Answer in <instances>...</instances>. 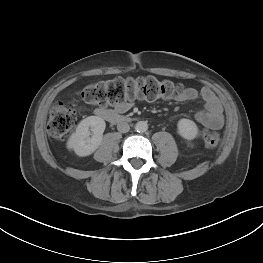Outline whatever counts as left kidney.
Here are the masks:
<instances>
[{"label": "left kidney", "instance_id": "obj_1", "mask_svg": "<svg viewBox=\"0 0 263 263\" xmlns=\"http://www.w3.org/2000/svg\"><path fill=\"white\" fill-rule=\"evenodd\" d=\"M177 127L178 133L187 140H193L198 135V127L192 120L180 119Z\"/></svg>", "mask_w": 263, "mask_h": 263}]
</instances>
